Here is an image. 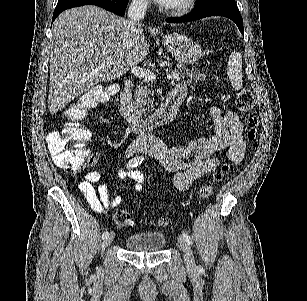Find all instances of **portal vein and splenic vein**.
<instances>
[{
  "instance_id": "1",
  "label": "portal vein and splenic vein",
  "mask_w": 307,
  "mask_h": 301,
  "mask_svg": "<svg viewBox=\"0 0 307 301\" xmlns=\"http://www.w3.org/2000/svg\"><path fill=\"white\" fill-rule=\"evenodd\" d=\"M100 66H106V62H101ZM131 72L135 74V76H139V78H144V80H155L156 74L152 72V70H149V68H139V66H132ZM167 78L169 80H172V78H180V74H167Z\"/></svg>"
}]
</instances>
